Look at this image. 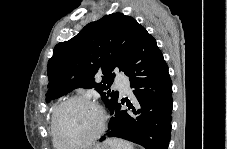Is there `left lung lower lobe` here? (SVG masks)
<instances>
[{"instance_id":"left-lung-lower-lobe-1","label":"left lung lower lobe","mask_w":227,"mask_h":149,"mask_svg":"<svg viewBox=\"0 0 227 149\" xmlns=\"http://www.w3.org/2000/svg\"><path fill=\"white\" fill-rule=\"evenodd\" d=\"M134 100H118L110 108L108 138H123L147 149H167L172 120V82L156 40L139 27L124 71ZM126 102L128 109L122 110Z\"/></svg>"}]
</instances>
